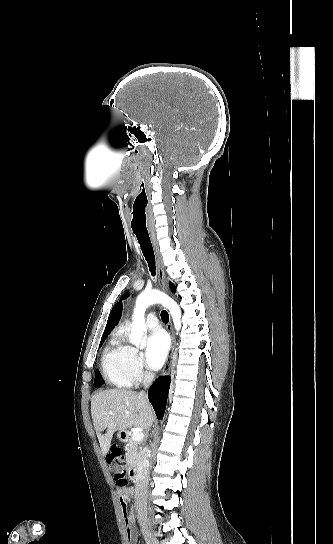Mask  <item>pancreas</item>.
I'll return each instance as SVG.
<instances>
[{
  "label": "pancreas",
  "instance_id": "obj_1",
  "mask_svg": "<svg viewBox=\"0 0 333 544\" xmlns=\"http://www.w3.org/2000/svg\"><path fill=\"white\" fill-rule=\"evenodd\" d=\"M126 461L129 465L137 464L140 457V443L133 440L131 437L126 439Z\"/></svg>",
  "mask_w": 333,
  "mask_h": 544
}]
</instances>
